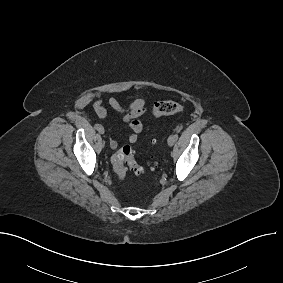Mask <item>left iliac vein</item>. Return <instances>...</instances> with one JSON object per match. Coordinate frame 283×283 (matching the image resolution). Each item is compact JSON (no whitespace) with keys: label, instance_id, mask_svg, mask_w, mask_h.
<instances>
[{"label":"left iliac vein","instance_id":"1","mask_svg":"<svg viewBox=\"0 0 283 283\" xmlns=\"http://www.w3.org/2000/svg\"><path fill=\"white\" fill-rule=\"evenodd\" d=\"M175 142H176L175 135L169 136V138H168V140H167L168 145H169V146H173Z\"/></svg>","mask_w":283,"mask_h":283}]
</instances>
